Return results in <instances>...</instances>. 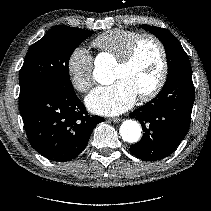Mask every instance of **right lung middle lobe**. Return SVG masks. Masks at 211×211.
Returning a JSON list of instances; mask_svg holds the SVG:
<instances>
[{
	"label": "right lung middle lobe",
	"mask_w": 211,
	"mask_h": 211,
	"mask_svg": "<svg viewBox=\"0 0 211 211\" xmlns=\"http://www.w3.org/2000/svg\"><path fill=\"white\" fill-rule=\"evenodd\" d=\"M93 34L68 26H56L28 50L19 73L20 93L40 84L73 91L68 63L78 45Z\"/></svg>",
	"instance_id": "dd1d6c3e"
}]
</instances>
